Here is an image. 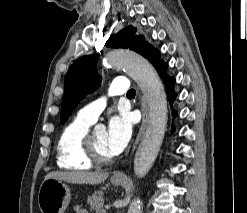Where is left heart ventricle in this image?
I'll list each match as a JSON object with an SVG mask.
<instances>
[{
    "mask_svg": "<svg viewBox=\"0 0 247 213\" xmlns=\"http://www.w3.org/2000/svg\"><path fill=\"white\" fill-rule=\"evenodd\" d=\"M93 140L97 153L103 158H110L113 155L107 148L106 145V132L105 131H95L93 132Z\"/></svg>",
    "mask_w": 247,
    "mask_h": 213,
    "instance_id": "1",
    "label": "left heart ventricle"
}]
</instances>
